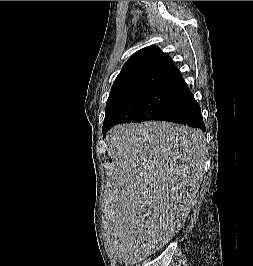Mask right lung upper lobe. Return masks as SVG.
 I'll return each instance as SVG.
<instances>
[{"instance_id":"cb5924a9","label":"right lung upper lobe","mask_w":253,"mask_h":266,"mask_svg":"<svg viewBox=\"0 0 253 266\" xmlns=\"http://www.w3.org/2000/svg\"><path fill=\"white\" fill-rule=\"evenodd\" d=\"M182 78L171 58L158 47L149 46L134 53L117 76L107 102L126 93L155 85H175Z\"/></svg>"}]
</instances>
